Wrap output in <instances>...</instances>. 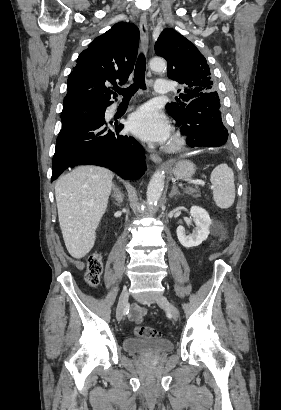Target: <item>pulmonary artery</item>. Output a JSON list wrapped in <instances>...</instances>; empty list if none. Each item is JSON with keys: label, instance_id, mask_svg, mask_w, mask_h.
Returning <instances> with one entry per match:
<instances>
[{"label": "pulmonary artery", "instance_id": "e3ab8cb5", "mask_svg": "<svg viewBox=\"0 0 281 410\" xmlns=\"http://www.w3.org/2000/svg\"><path fill=\"white\" fill-rule=\"evenodd\" d=\"M155 92L165 94L171 90L170 83L166 80H158L154 85Z\"/></svg>", "mask_w": 281, "mask_h": 410}]
</instances>
